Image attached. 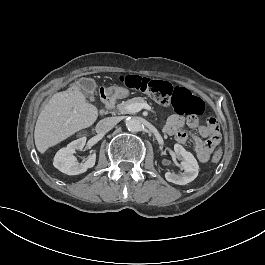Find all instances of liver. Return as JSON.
Segmentation results:
<instances>
[{
  "label": "liver",
  "mask_w": 265,
  "mask_h": 265,
  "mask_svg": "<svg viewBox=\"0 0 265 265\" xmlns=\"http://www.w3.org/2000/svg\"><path fill=\"white\" fill-rule=\"evenodd\" d=\"M98 116L97 107L86 101L77 84L72 83L68 90L54 93L36 120L34 141L37 151L45 154L79 131L90 128Z\"/></svg>",
  "instance_id": "1"
}]
</instances>
